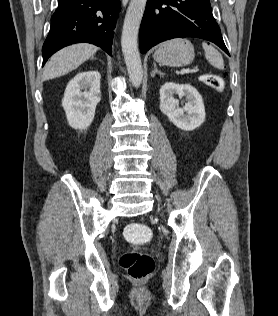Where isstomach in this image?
<instances>
[{
  "label": "stomach",
  "instance_id": "obj_1",
  "mask_svg": "<svg viewBox=\"0 0 278 316\" xmlns=\"http://www.w3.org/2000/svg\"><path fill=\"white\" fill-rule=\"evenodd\" d=\"M153 57L156 62L162 65L186 66L194 59V47L186 39H173L160 45Z\"/></svg>",
  "mask_w": 278,
  "mask_h": 316
}]
</instances>
